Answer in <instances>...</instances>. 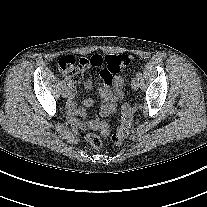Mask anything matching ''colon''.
Returning <instances> with one entry per match:
<instances>
[{
  "label": "colon",
  "instance_id": "5ec220e1",
  "mask_svg": "<svg viewBox=\"0 0 207 207\" xmlns=\"http://www.w3.org/2000/svg\"><path fill=\"white\" fill-rule=\"evenodd\" d=\"M129 63L130 59L125 55H111L104 58L94 57L90 60L83 59L79 61L71 56H65L58 60L57 65L68 83L72 85L81 80L83 71L90 65L99 67L101 69L102 78L107 80L128 66ZM121 113V125L118 132L112 137L114 145H120L128 136L133 121V107L129 103H124L121 106ZM100 129L104 134L109 133V128L106 123L101 122ZM87 140L95 149H100L102 146L100 137L96 135H88Z\"/></svg>",
  "mask_w": 207,
  "mask_h": 207
}]
</instances>
